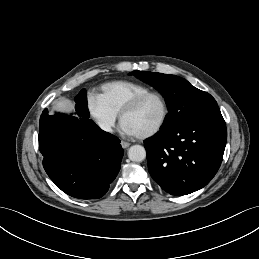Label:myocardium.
<instances>
[{
	"mask_svg": "<svg viewBox=\"0 0 259 259\" xmlns=\"http://www.w3.org/2000/svg\"><path fill=\"white\" fill-rule=\"evenodd\" d=\"M151 97H156L158 98L163 106V115L161 117V120L159 123L151 130H149L146 133L143 134H138L137 136L141 139L149 138L154 135H156L158 132L161 131V129L164 127V125L167 122V119L169 117L170 109H169V104L165 96L159 92H147L142 95H139L135 98H133L128 104L122 109L120 112V120L123 122L124 117L136 110L146 99L151 98Z\"/></svg>",
	"mask_w": 259,
	"mask_h": 259,
	"instance_id": "1",
	"label": "myocardium"
}]
</instances>
